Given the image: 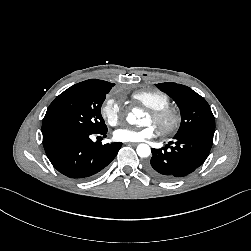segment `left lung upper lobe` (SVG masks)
I'll return each instance as SVG.
<instances>
[{"label": "left lung upper lobe", "instance_id": "5c2ea615", "mask_svg": "<svg viewBox=\"0 0 251 251\" xmlns=\"http://www.w3.org/2000/svg\"><path fill=\"white\" fill-rule=\"evenodd\" d=\"M170 95L181 110V125L176 136L189 133H207L214 135L215 119L206 100L191 88L172 82L156 84Z\"/></svg>", "mask_w": 251, "mask_h": 251}]
</instances>
